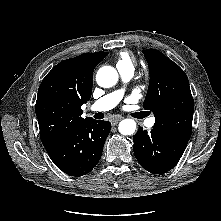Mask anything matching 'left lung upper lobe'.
Wrapping results in <instances>:
<instances>
[{"label":"left lung upper lobe","instance_id":"obj_1","mask_svg":"<svg viewBox=\"0 0 221 221\" xmlns=\"http://www.w3.org/2000/svg\"><path fill=\"white\" fill-rule=\"evenodd\" d=\"M142 52L150 71L144 109L154 113L155 129L188 141L192 132L194 101L186 74L160 51L147 49Z\"/></svg>","mask_w":221,"mask_h":221}]
</instances>
